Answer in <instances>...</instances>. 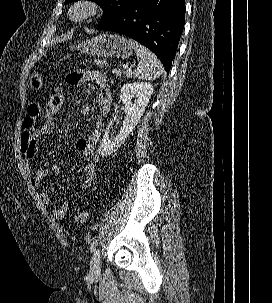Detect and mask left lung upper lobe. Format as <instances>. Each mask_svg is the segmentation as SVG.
I'll list each match as a JSON object with an SVG mask.
<instances>
[{
	"label": "left lung upper lobe",
	"instance_id": "left-lung-upper-lobe-1",
	"mask_svg": "<svg viewBox=\"0 0 272 303\" xmlns=\"http://www.w3.org/2000/svg\"><path fill=\"white\" fill-rule=\"evenodd\" d=\"M78 1V0H66L65 4ZM100 4L104 9V14L98 23V26L113 19L117 15L123 13L129 7L134 5L138 0H93Z\"/></svg>",
	"mask_w": 272,
	"mask_h": 303
}]
</instances>
